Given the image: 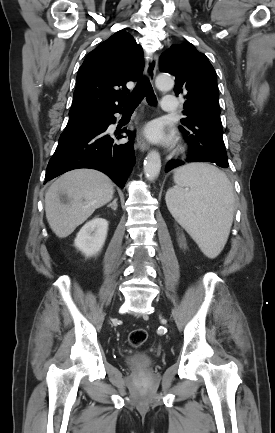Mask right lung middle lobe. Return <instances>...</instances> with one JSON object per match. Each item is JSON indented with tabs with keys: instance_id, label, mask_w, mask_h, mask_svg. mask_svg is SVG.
Segmentation results:
<instances>
[{
	"instance_id": "dd1d6c3e",
	"label": "right lung middle lobe",
	"mask_w": 275,
	"mask_h": 433,
	"mask_svg": "<svg viewBox=\"0 0 275 433\" xmlns=\"http://www.w3.org/2000/svg\"><path fill=\"white\" fill-rule=\"evenodd\" d=\"M85 117H87V116L80 117V118H75V119H69L67 125H71V124H74V123H78V122H80L81 120H83Z\"/></svg>"
}]
</instances>
